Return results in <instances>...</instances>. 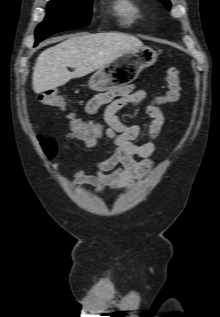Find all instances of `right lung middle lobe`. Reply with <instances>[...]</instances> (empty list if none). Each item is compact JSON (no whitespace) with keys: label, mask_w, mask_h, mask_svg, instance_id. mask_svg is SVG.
Returning a JSON list of instances; mask_svg holds the SVG:
<instances>
[{"label":"right lung middle lobe","mask_w":220,"mask_h":317,"mask_svg":"<svg viewBox=\"0 0 220 317\" xmlns=\"http://www.w3.org/2000/svg\"><path fill=\"white\" fill-rule=\"evenodd\" d=\"M91 3L92 0H51L44 21L36 28L35 45L52 34L87 26Z\"/></svg>","instance_id":"right-lung-middle-lobe-1"}]
</instances>
